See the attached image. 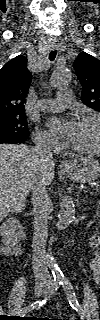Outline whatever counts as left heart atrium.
Masks as SVG:
<instances>
[{
    "label": "left heart atrium",
    "instance_id": "obj_1",
    "mask_svg": "<svg viewBox=\"0 0 100 320\" xmlns=\"http://www.w3.org/2000/svg\"><path fill=\"white\" fill-rule=\"evenodd\" d=\"M48 125L55 134L61 135L62 137L71 140L74 135L77 123L64 122L61 119L52 118L49 120Z\"/></svg>",
    "mask_w": 100,
    "mask_h": 320
}]
</instances>
